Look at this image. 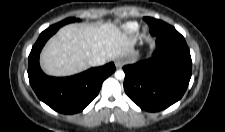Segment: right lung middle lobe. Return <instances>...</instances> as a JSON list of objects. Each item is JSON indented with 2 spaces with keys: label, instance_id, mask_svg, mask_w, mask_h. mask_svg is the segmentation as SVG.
Instances as JSON below:
<instances>
[{
  "label": "right lung middle lobe",
  "instance_id": "right-lung-middle-lobe-1",
  "mask_svg": "<svg viewBox=\"0 0 225 132\" xmlns=\"http://www.w3.org/2000/svg\"><path fill=\"white\" fill-rule=\"evenodd\" d=\"M75 21H76L75 18H67V19H65V20H63V21H61V22H59V23H57L55 25L58 26V27H61V26L65 25V24H67V23H71V22H75ZM77 21H79V19Z\"/></svg>",
  "mask_w": 225,
  "mask_h": 132
}]
</instances>
